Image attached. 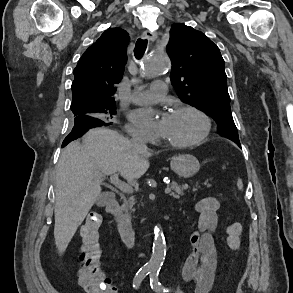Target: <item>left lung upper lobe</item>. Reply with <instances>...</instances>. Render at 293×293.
Instances as JSON below:
<instances>
[{
  "label": "left lung upper lobe",
  "instance_id": "5c2ea615",
  "mask_svg": "<svg viewBox=\"0 0 293 293\" xmlns=\"http://www.w3.org/2000/svg\"><path fill=\"white\" fill-rule=\"evenodd\" d=\"M167 53L172 62L171 83L179 98L205 110L216 121L218 133L239 144L225 63L217 45L202 32L178 23L172 25Z\"/></svg>",
  "mask_w": 293,
  "mask_h": 293
}]
</instances>
